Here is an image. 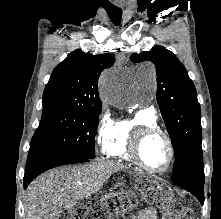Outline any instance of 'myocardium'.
Here are the masks:
<instances>
[{"label": "myocardium", "mask_w": 221, "mask_h": 219, "mask_svg": "<svg viewBox=\"0 0 221 219\" xmlns=\"http://www.w3.org/2000/svg\"><path fill=\"white\" fill-rule=\"evenodd\" d=\"M153 135H160L166 142L168 146L169 151V157L167 165L164 169L158 170L149 167L142 159L141 156V147L143 142L150 136ZM128 153L133 160L134 163H136L138 166L146 170L147 172L162 175L172 168L174 159H175V149L173 142L170 138V136L163 131L161 128L154 126V125H138L136 126L133 131L131 132L130 138H129V144H128Z\"/></svg>", "instance_id": "1"}]
</instances>
